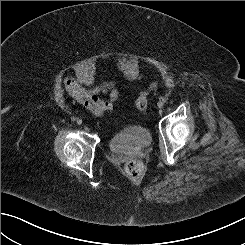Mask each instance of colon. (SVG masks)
Returning <instances> with one entry per match:
<instances>
[{"label":"colon","instance_id":"obj_1","mask_svg":"<svg viewBox=\"0 0 245 245\" xmlns=\"http://www.w3.org/2000/svg\"><path fill=\"white\" fill-rule=\"evenodd\" d=\"M156 88H157V83L153 82L152 84L149 85V87L146 90L142 91L138 95L135 101V106L139 111L146 112L148 108V96L150 92L154 91ZM125 171L128 175L132 177H138L143 172V164L136 159H132L126 163Z\"/></svg>","mask_w":245,"mask_h":245}]
</instances>
